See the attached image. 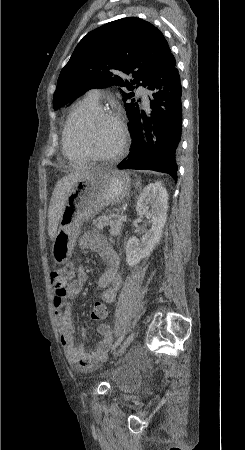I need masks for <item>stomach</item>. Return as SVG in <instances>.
I'll return each mask as SVG.
<instances>
[{"label": "stomach", "mask_w": 245, "mask_h": 450, "mask_svg": "<svg viewBox=\"0 0 245 450\" xmlns=\"http://www.w3.org/2000/svg\"><path fill=\"white\" fill-rule=\"evenodd\" d=\"M130 188L131 181L126 173L105 168L95 169L91 175L78 180L66 200L53 240L55 263L64 264L71 258L82 223L104 207L122 202Z\"/></svg>", "instance_id": "obj_1"}]
</instances>
